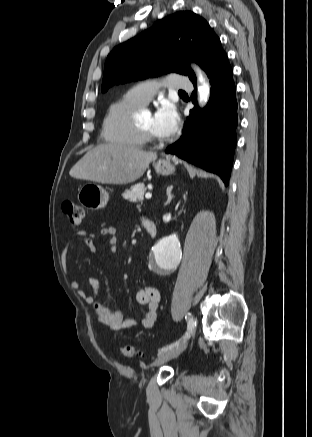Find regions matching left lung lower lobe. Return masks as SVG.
<instances>
[{
	"instance_id": "obj_1",
	"label": "left lung lower lobe",
	"mask_w": 312,
	"mask_h": 437,
	"mask_svg": "<svg viewBox=\"0 0 312 437\" xmlns=\"http://www.w3.org/2000/svg\"><path fill=\"white\" fill-rule=\"evenodd\" d=\"M206 73L212 85L209 103L204 109L196 106L190 111L182 137L169 146L166 153L218 174L227 186L237 143L238 105L232 68L224 51ZM194 98L196 89L192 94Z\"/></svg>"
}]
</instances>
